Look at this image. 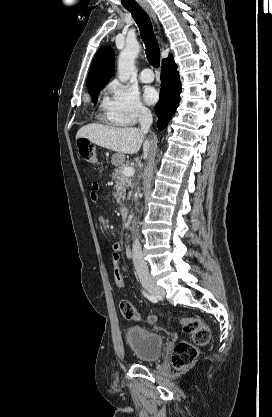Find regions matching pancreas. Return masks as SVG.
Masks as SVG:
<instances>
[{
  "label": "pancreas",
  "instance_id": "obj_1",
  "mask_svg": "<svg viewBox=\"0 0 272 417\" xmlns=\"http://www.w3.org/2000/svg\"><path fill=\"white\" fill-rule=\"evenodd\" d=\"M127 164H122L112 173V179L115 181V193L114 197L118 204H122L125 199L126 189L131 186L132 179L125 176L123 171L127 167Z\"/></svg>",
  "mask_w": 272,
  "mask_h": 417
}]
</instances>
